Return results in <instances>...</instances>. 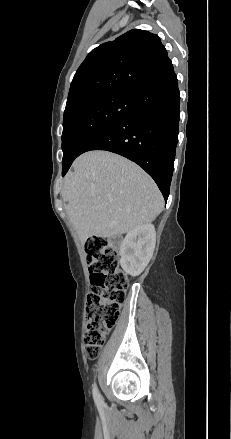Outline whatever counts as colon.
Here are the masks:
<instances>
[{"label": "colon", "mask_w": 231, "mask_h": 439, "mask_svg": "<svg viewBox=\"0 0 231 439\" xmlns=\"http://www.w3.org/2000/svg\"><path fill=\"white\" fill-rule=\"evenodd\" d=\"M87 265L91 270L93 290L87 299L84 333L85 352L95 360L106 335L116 324L125 300L128 277L120 268L116 248L102 238H91L85 245Z\"/></svg>", "instance_id": "1"}]
</instances>
